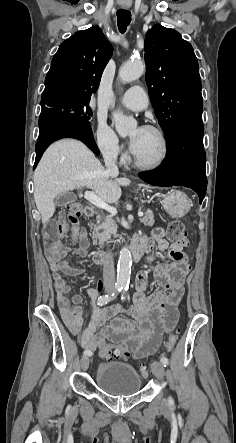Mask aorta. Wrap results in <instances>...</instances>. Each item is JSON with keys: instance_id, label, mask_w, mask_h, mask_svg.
Returning a JSON list of instances; mask_svg holds the SVG:
<instances>
[{"instance_id": "1", "label": "aorta", "mask_w": 236, "mask_h": 443, "mask_svg": "<svg viewBox=\"0 0 236 443\" xmlns=\"http://www.w3.org/2000/svg\"><path fill=\"white\" fill-rule=\"evenodd\" d=\"M144 72V65L142 62L126 63L119 69V79L123 83H129L138 79ZM113 120L115 128L121 137H126L137 126L134 118L123 115V113L116 111L113 113ZM132 266V256L128 248L123 247L120 250L119 260L117 265V285L120 287H127L130 282Z\"/></svg>"}]
</instances>
